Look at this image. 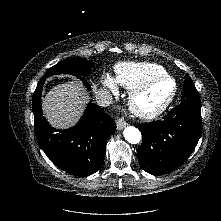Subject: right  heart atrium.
<instances>
[{
  "label": "right heart atrium",
  "instance_id": "1",
  "mask_svg": "<svg viewBox=\"0 0 221 221\" xmlns=\"http://www.w3.org/2000/svg\"><path fill=\"white\" fill-rule=\"evenodd\" d=\"M103 84H104L105 87L110 89L112 92L117 91L116 83L110 76L106 75V76L103 77Z\"/></svg>",
  "mask_w": 221,
  "mask_h": 221
}]
</instances>
